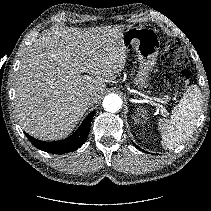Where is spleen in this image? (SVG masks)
Here are the masks:
<instances>
[{
	"instance_id": "spleen-1",
	"label": "spleen",
	"mask_w": 211,
	"mask_h": 211,
	"mask_svg": "<svg viewBox=\"0 0 211 211\" xmlns=\"http://www.w3.org/2000/svg\"><path fill=\"white\" fill-rule=\"evenodd\" d=\"M202 94L199 87L191 85L169 119H159L164 149H173L185 142L193 133L202 110Z\"/></svg>"
}]
</instances>
